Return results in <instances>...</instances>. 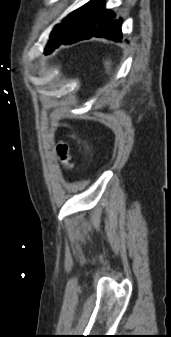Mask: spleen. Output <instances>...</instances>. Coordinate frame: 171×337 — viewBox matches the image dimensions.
Here are the masks:
<instances>
[{
    "instance_id": "3e777b00",
    "label": "spleen",
    "mask_w": 171,
    "mask_h": 337,
    "mask_svg": "<svg viewBox=\"0 0 171 337\" xmlns=\"http://www.w3.org/2000/svg\"><path fill=\"white\" fill-rule=\"evenodd\" d=\"M105 66H106L107 71H109L110 70V62L106 61Z\"/></svg>"
}]
</instances>
